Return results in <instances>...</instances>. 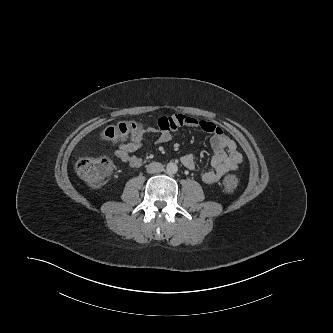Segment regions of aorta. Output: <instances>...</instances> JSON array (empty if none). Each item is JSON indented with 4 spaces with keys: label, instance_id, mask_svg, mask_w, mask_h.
Here are the masks:
<instances>
[{
    "label": "aorta",
    "instance_id": "1",
    "mask_svg": "<svg viewBox=\"0 0 333 333\" xmlns=\"http://www.w3.org/2000/svg\"><path fill=\"white\" fill-rule=\"evenodd\" d=\"M177 171H178V166H177L176 163L170 162V163L167 164V166H166V172L168 174H170V175L171 174H176Z\"/></svg>",
    "mask_w": 333,
    "mask_h": 333
}]
</instances>
